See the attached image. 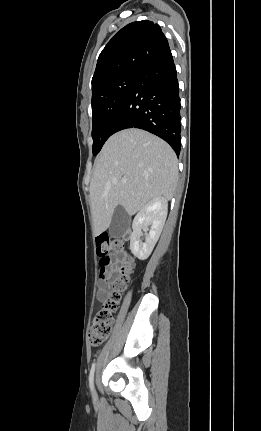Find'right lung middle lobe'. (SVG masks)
Instances as JSON below:
<instances>
[{"mask_svg":"<svg viewBox=\"0 0 261 431\" xmlns=\"http://www.w3.org/2000/svg\"><path fill=\"white\" fill-rule=\"evenodd\" d=\"M138 76V72L122 74L92 90L93 155H97L112 128Z\"/></svg>","mask_w":261,"mask_h":431,"instance_id":"right-lung-middle-lobe-1","label":"right lung middle lobe"}]
</instances>
